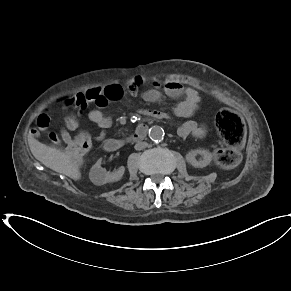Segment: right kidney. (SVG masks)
<instances>
[{"label": "right kidney", "mask_w": 291, "mask_h": 291, "mask_svg": "<svg viewBox=\"0 0 291 291\" xmlns=\"http://www.w3.org/2000/svg\"><path fill=\"white\" fill-rule=\"evenodd\" d=\"M101 161L99 159L90 170L89 177L93 184L103 185L109 182H116L123 177L125 171L124 166L119 167L114 172H107L106 169L101 167Z\"/></svg>", "instance_id": "obj_1"}]
</instances>
